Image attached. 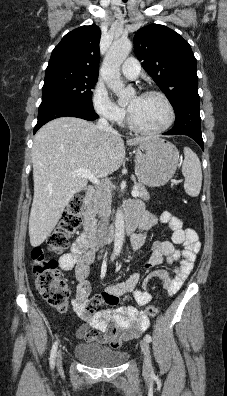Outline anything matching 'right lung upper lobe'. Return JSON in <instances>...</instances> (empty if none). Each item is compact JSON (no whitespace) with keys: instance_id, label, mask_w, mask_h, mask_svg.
<instances>
[{"instance_id":"1","label":"right lung upper lobe","mask_w":227,"mask_h":396,"mask_svg":"<svg viewBox=\"0 0 227 396\" xmlns=\"http://www.w3.org/2000/svg\"><path fill=\"white\" fill-rule=\"evenodd\" d=\"M100 29L82 26L66 34L54 48L46 69L98 76Z\"/></svg>"}]
</instances>
